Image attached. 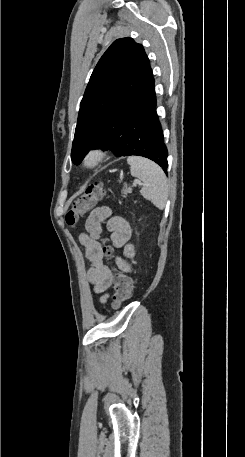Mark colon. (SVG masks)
<instances>
[{"instance_id": "colon-1", "label": "colon", "mask_w": 245, "mask_h": 457, "mask_svg": "<svg viewBox=\"0 0 245 457\" xmlns=\"http://www.w3.org/2000/svg\"><path fill=\"white\" fill-rule=\"evenodd\" d=\"M104 195L102 183H94L87 187L86 191L76 198L69 211L66 214L67 224L74 226L80 218ZM103 254L108 258L112 257L113 250L109 246L103 248ZM133 291L132 278L123 272H117L114 277V286L112 292V303L114 307L120 306L128 300Z\"/></svg>"}]
</instances>
